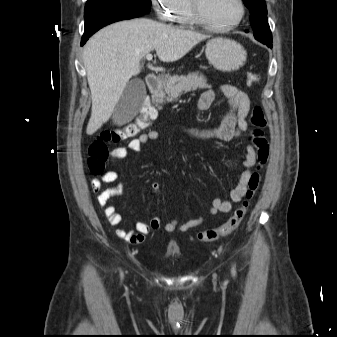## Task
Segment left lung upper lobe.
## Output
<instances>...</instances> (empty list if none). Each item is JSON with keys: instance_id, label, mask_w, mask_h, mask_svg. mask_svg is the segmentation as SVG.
<instances>
[{"instance_id": "left-lung-upper-lobe-1", "label": "left lung upper lobe", "mask_w": 337, "mask_h": 337, "mask_svg": "<svg viewBox=\"0 0 337 337\" xmlns=\"http://www.w3.org/2000/svg\"><path fill=\"white\" fill-rule=\"evenodd\" d=\"M249 8L250 21L254 37L262 43H272V34L267 19V8L264 0H243Z\"/></svg>"}]
</instances>
